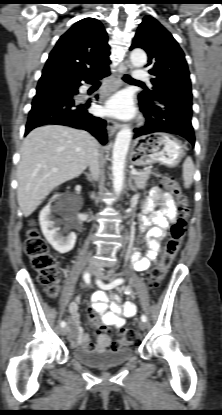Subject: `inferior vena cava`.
Returning <instances> with one entry per match:
<instances>
[{
  "label": "inferior vena cava",
  "instance_id": "1",
  "mask_svg": "<svg viewBox=\"0 0 222 415\" xmlns=\"http://www.w3.org/2000/svg\"><path fill=\"white\" fill-rule=\"evenodd\" d=\"M90 172L92 177L97 180L99 177V162H98V150L95 149L93 156L89 162Z\"/></svg>",
  "mask_w": 222,
  "mask_h": 415
}]
</instances>
